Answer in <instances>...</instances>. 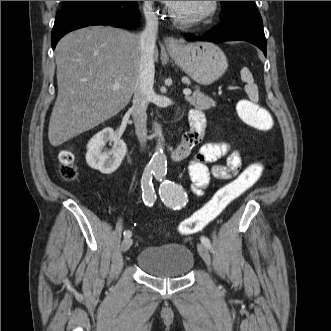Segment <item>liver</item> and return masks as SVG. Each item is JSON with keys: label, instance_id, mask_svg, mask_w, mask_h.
<instances>
[{"label": "liver", "instance_id": "1", "mask_svg": "<svg viewBox=\"0 0 331 331\" xmlns=\"http://www.w3.org/2000/svg\"><path fill=\"white\" fill-rule=\"evenodd\" d=\"M55 52L58 95L48 139L57 147L127 106L139 76L140 35L109 26L82 28L65 35Z\"/></svg>", "mask_w": 331, "mask_h": 331}]
</instances>
